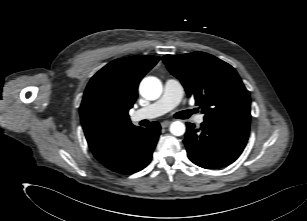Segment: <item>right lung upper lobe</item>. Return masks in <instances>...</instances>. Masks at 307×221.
<instances>
[{"label": "right lung upper lobe", "instance_id": "right-lung-upper-lobe-1", "mask_svg": "<svg viewBox=\"0 0 307 221\" xmlns=\"http://www.w3.org/2000/svg\"><path fill=\"white\" fill-rule=\"evenodd\" d=\"M158 60L147 55L116 59L91 78L80 116L94 155L135 128L128 111L137 98L139 82Z\"/></svg>", "mask_w": 307, "mask_h": 221}]
</instances>
